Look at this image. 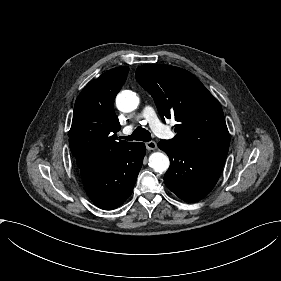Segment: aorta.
Wrapping results in <instances>:
<instances>
[{"instance_id": "obj_1", "label": "aorta", "mask_w": 281, "mask_h": 281, "mask_svg": "<svg viewBox=\"0 0 281 281\" xmlns=\"http://www.w3.org/2000/svg\"><path fill=\"white\" fill-rule=\"evenodd\" d=\"M139 97L135 92L125 90L116 96V106L121 112H132L139 105ZM149 166L156 172L167 171L170 165L169 158L163 152H154L149 156Z\"/></svg>"}]
</instances>
